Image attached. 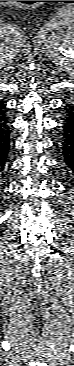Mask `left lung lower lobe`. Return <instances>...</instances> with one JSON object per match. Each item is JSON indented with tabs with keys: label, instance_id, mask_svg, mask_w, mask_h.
Returning <instances> with one entry per match:
<instances>
[{
	"label": "left lung lower lobe",
	"instance_id": "0a47b994",
	"mask_svg": "<svg viewBox=\"0 0 74 366\" xmlns=\"http://www.w3.org/2000/svg\"><path fill=\"white\" fill-rule=\"evenodd\" d=\"M65 117L60 127L58 148L64 156V162L74 172V104L63 107Z\"/></svg>",
	"mask_w": 74,
	"mask_h": 366
}]
</instances>
